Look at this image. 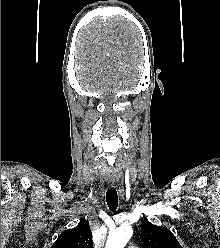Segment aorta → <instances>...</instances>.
Here are the masks:
<instances>
[{
  "label": "aorta",
  "mask_w": 220,
  "mask_h": 248,
  "mask_svg": "<svg viewBox=\"0 0 220 248\" xmlns=\"http://www.w3.org/2000/svg\"><path fill=\"white\" fill-rule=\"evenodd\" d=\"M133 234V229L130 225L124 224L117 228L114 232L110 233L106 248H124Z\"/></svg>",
  "instance_id": "762f6f07"
}]
</instances>
